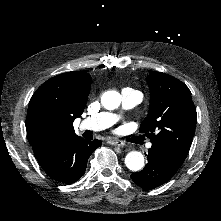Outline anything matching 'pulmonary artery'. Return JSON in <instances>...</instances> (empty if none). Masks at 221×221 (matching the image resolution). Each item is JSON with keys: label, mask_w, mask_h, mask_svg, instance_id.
Segmentation results:
<instances>
[{"label": "pulmonary artery", "mask_w": 221, "mask_h": 221, "mask_svg": "<svg viewBox=\"0 0 221 221\" xmlns=\"http://www.w3.org/2000/svg\"><path fill=\"white\" fill-rule=\"evenodd\" d=\"M120 102L123 103V106L127 109H134L140 104L142 99V91L140 87H123L120 92ZM130 97V98H129ZM115 121V117L110 115L107 112L103 114L96 113L94 116L89 114L87 117H84L81 120V123L84 127H87L89 130H102L106 129Z\"/></svg>", "instance_id": "e3ab8cb5"}]
</instances>
